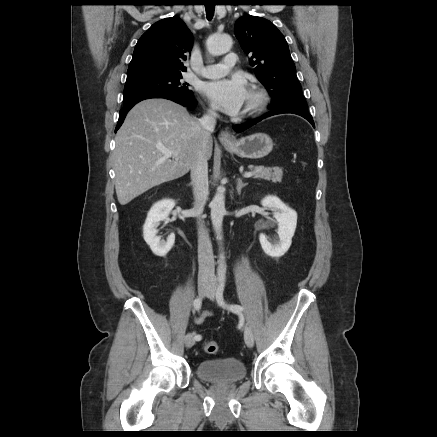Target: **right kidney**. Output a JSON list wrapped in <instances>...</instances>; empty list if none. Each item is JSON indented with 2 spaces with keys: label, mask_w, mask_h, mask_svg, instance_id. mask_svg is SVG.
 I'll return each mask as SVG.
<instances>
[{
  "label": "right kidney",
  "mask_w": 437,
  "mask_h": 437,
  "mask_svg": "<svg viewBox=\"0 0 437 437\" xmlns=\"http://www.w3.org/2000/svg\"><path fill=\"white\" fill-rule=\"evenodd\" d=\"M174 206L175 201L172 199H164L155 203L148 212L146 221L143 225L144 240L156 256H166L174 245V234H170L167 241L161 240V237L157 236V227L161 221H165V223L168 222V216Z\"/></svg>",
  "instance_id": "1"
}]
</instances>
